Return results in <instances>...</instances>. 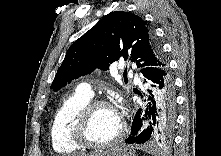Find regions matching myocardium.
<instances>
[{"label":"myocardium","mask_w":221,"mask_h":156,"mask_svg":"<svg viewBox=\"0 0 221 156\" xmlns=\"http://www.w3.org/2000/svg\"><path fill=\"white\" fill-rule=\"evenodd\" d=\"M103 107H110L112 105L104 100H91L84 105L75 116L70 130L72 141L81 148L90 149H105L115 145L123 136L125 132V124L120 120V126L117 133L109 141L104 143H95L87 137V126L93 113Z\"/></svg>","instance_id":"1"}]
</instances>
